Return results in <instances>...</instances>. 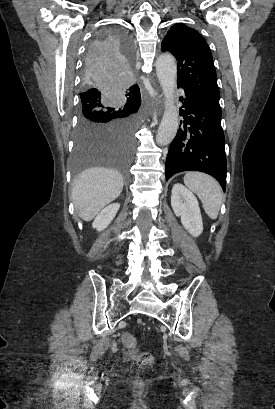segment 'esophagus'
Returning <instances> with one entry per match:
<instances>
[{
    "instance_id": "34e87169",
    "label": "esophagus",
    "mask_w": 275,
    "mask_h": 409,
    "mask_svg": "<svg viewBox=\"0 0 275 409\" xmlns=\"http://www.w3.org/2000/svg\"><path fill=\"white\" fill-rule=\"evenodd\" d=\"M156 102H157V104L159 106L160 105V95L159 94H157V96H156Z\"/></svg>"
}]
</instances>
